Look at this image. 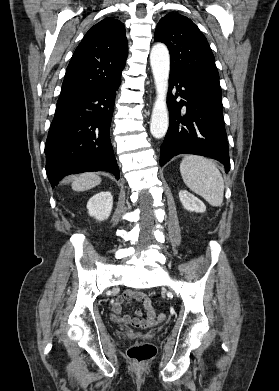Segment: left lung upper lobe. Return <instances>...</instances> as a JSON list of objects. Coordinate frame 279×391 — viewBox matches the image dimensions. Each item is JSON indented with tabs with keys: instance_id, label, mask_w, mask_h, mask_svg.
I'll return each mask as SVG.
<instances>
[{
	"instance_id": "1",
	"label": "left lung upper lobe",
	"mask_w": 279,
	"mask_h": 391,
	"mask_svg": "<svg viewBox=\"0 0 279 391\" xmlns=\"http://www.w3.org/2000/svg\"><path fill=\"white\" fill-rule=\"evenodd\" d=\"M155 41L165 43L169 49L170 74L222 99L213 53L205 36L190 19L178 13L167 14L156 27Z\"/></svg>"
}]
</instances>
